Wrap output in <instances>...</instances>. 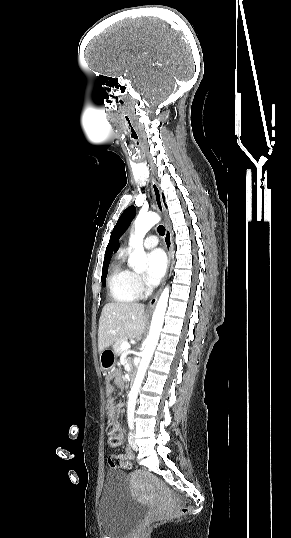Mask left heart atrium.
<instances>
[{
	"mask_svg": "<svg viewBox=\"0 0 291 538\" xmlns=\"http://www.w3.org/2000/svg\"><path fill=\"white\" fill-rule=\"evenodd\" d=\"M167 259L161 249H155L148 253L145 279L148 284H154L164 275Z\"/></svg>",
	"mask_w": 291,
	"mask_h": 538,
	"instance_id": "obj_1",
	"label": "left heart atrium"
}]
</instances>
